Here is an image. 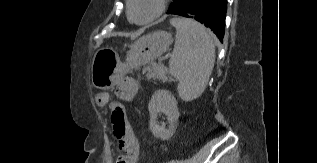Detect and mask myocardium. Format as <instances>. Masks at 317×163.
<instances>
[{
  "label": "myocardium",
  "instance_id": "1",
  "mask_svg": "<svg viewBox=\"0 0 317 163\" xmlns=\"http://www.w3.org/2000/svg\"><path fill=\"white\" fill-rule=\"evenodd\" d=\"M133 1L134 0H128L127 3V16L129 18V20L137 25H147L150 24L154 21H156L158 18H160L163 13L166 10V6H167V0H157V10L156 12L149 18L145 19V20H135L132 16V5H133Z\"/></svg>",
  "mask_w": 317,
  "mask_h": 163
}]
</instances>
